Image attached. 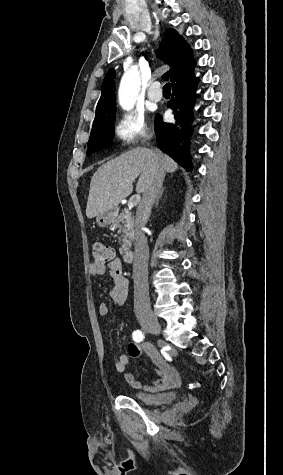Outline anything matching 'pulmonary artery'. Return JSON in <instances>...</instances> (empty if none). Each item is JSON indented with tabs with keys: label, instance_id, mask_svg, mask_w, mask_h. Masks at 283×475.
Segmentation results:
<instances>
[{
	"label": "pulmonary artery",
	"instance_id": "pulmonary-artery-1",
	"mask_svg": "<svg viewBox=\"0 0 283 475\" xmlns=\"http://www.w3.org/2000/svg\"><path fill=\"white\" fill-rule=\"evenodd\" d=\"M161 84H155L154 82L152 83V88L150 91L147 93V98L153 102H159L161 96L163 94V89L160 87ZM120 90H141V89H120Z\"/></svg>",
	"mask_w": 283,
	"mask_h": 475
}]
</instances>
